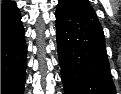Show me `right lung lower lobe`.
Here are the masks:
<instances>
[{"label":"right lung lower lobe","mask_w":121,"mask_h":94,"mask_svg":"<svg viewBox=\"0 0 121 94\" xmlns=\"http://www.w3.org/2000/svg\"><path fill=\"white\" fill-rule=\"evenodd\" d=\"M20 19L15 2L1 6V94H24L27 46Z\"/></svg>","instance_id":"98d812e1"}]
</instances>
